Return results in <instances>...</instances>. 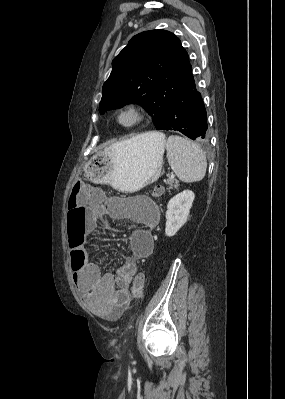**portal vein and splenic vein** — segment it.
<instances>
[{
  "label": "portal vein and splenic vein",
  "instance_id": "18ae733b",
  "mask_svg": "<svg viewBox=\"0 0 285 399\" xmlns=\"http://www.w3.org/2000/svg\"><path fill=\"white\" fill-rule=\"evenodd\" d=\"M171 178H174V175H173V174H171Z\"/></svg>",
  "mask_w": 285,
  "mask_h": 399
}]
</instances>
